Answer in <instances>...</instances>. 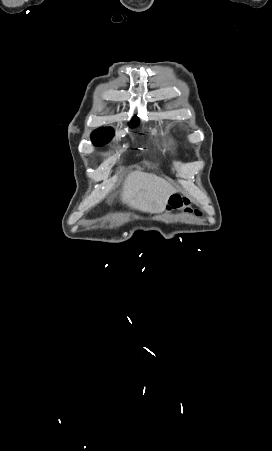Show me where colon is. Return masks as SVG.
<instances>
[{"label": "colon", "mask_w": 272, "mask_h": 451, "mask_svg": "<svg viewBox=\"0 0 272 451\" xmlns=\"http://www.w3.org/2000/svg\"><path fill=\"white\" fill-rule=\"evenodd\" d=\"M168 206L170 208H180L185 207L188 211L194 212L196 215H201L202 212L199 209H192L190 207V201L186 197H182L179 195H173L168 202Z\"/></svg>", "instance_id": "obj_1"}]
</instances>
